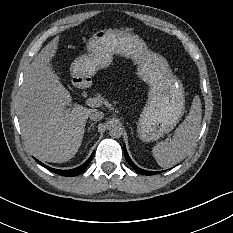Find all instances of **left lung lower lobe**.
Listing matches in <instances>:
<instances>
[{
  "mask_svg": "<svg viewBox=\"0 0 233 233\" xmlns=\"http://www.w3.org/2000/svg\"><path fill=\"white\" fill-rule=\"evenodd\" d=\"M124 154H125V157H126L128 163L135 169L136 172H138V173H140V174H143V175H154V174L160 173V172L146 171V170H143V169L138 168V167L132 162V160L130 159V157H129L127 151H126L125 145H124Z\"/></svg>",
  "mask_w": 233,
  "mask_h": 233,
  "instance_id": "left-lung-lower-lobe-1",
  "label": "left lung lower lobe"
}]
</instances>
